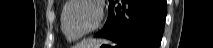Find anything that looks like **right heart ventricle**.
<instances>
[{
	"label": "right heart ventricle",
	"instance_id": "e07e8e85",
	"mask_svg": "<svg viewBox=\"0 0 213 48\" xmlns=\"http://www.w3.org/2000/svg\"><path fill=\"white\" fill-rule=\"evenodd\" d=\"M62 32H63V34L65 35L66 39H67L69 42H73V41H76V40L78 39V38H76V37H72V36L68 35V34L63 30V28H62Z\"/></svg>",
	"mask_w": 213,
	"mask_h": 48
}]
</instances>
